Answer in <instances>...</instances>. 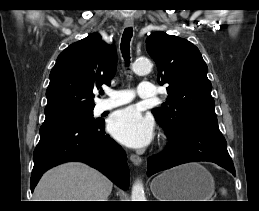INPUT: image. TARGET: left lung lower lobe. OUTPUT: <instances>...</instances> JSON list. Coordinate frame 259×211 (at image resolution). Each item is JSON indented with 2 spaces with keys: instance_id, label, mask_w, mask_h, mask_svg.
I'll use <instances>...</instances> for the list:
<instances>
[{
  "instance_id": "0a47b994",
  "label": "left lung lower lobe",
  "mask_w": 259,
  "mask_h": 211,
  "mask_svg": "<svg viewBox=\"0 0 259 211\" xmlns=\"http://www.w3.org/2000/svg\"><path fill=\"white\" fill-rule=\"evenodd\" d=\"M168 139L166 149L148 159L147 174L149 176L195 161L213 162L235 173L233 162L227 151L226 140L219 129L190 125Z\"/></svg>"
}]
</instances>
